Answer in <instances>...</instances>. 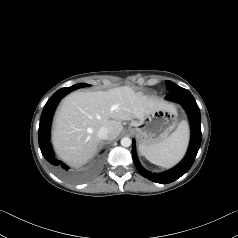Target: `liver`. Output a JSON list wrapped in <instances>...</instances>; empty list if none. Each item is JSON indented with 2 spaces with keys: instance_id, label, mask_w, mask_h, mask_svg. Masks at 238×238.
Instances as JSON below:
<instances>
[{
  "instance_id": "1",
  "label": "liver",
  "mask_w": 238,
  "mask_h": 238,
  "mask_svg": "<svg viewBox=\"0 0 238 238\" xmlns=\"http://www.w3.org/2000/svg\"><path fill=\"white\" fill-rule=\"evenodd\" d=\"M168 106L163 101L122 86L108 91L75 92L67 96L56 114L52 142L58 156L72 166L90 160L99 145L97 132L108 128V140L123 129L121 121L140 119Z\"/></svg>"
}]
</instances>
